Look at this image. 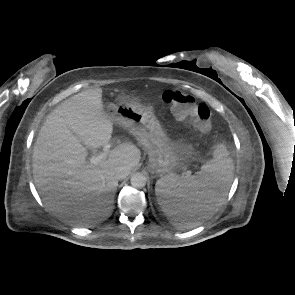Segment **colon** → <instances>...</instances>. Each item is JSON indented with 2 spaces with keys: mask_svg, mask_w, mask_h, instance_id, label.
Masks as SVG:
<instances>
[{
  "mask_svg": "<svg viewBox=\"0 0 295 295\" xmlns=\"http://www.w3.org/2000/svg\"><path fill=\"white\" fill-rule=\"evenodd\" d=\"M162 100L171 106L176 118L192 124L202 133L210 132L212 123L208 106L197 103L191 95L173 89L164 91Z\"/></svg>",
  "mask_w": 295,
  "mask_h": 295,
  "instance_id": "1",
  "label": "colon"
}]
</instances>
